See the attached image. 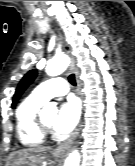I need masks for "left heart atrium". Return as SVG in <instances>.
Instances as JSON below:
<instances>
[{
    "instance_id": "obj_1",
    "label": "left heart atrium",
    "mask_w": 135,
    "mask_h": 166,
    "mask_svg": "<svg viewBox=\"0 0 135 166\" xmlns=\"http://www.w3.org/2000/svg\"><path fill=\"white\" fill-rule=\"evenodd\" d=\"M80 115V105L75 98L65 101L53 123L54 131L59 135H68L76 127Z\"/></svg>"
}]
</instances>
